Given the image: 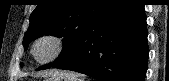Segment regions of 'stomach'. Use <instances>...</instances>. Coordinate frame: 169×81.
<instances>
[{"mask_svg": "<svg viewBox=\"0 0 169 81\" xmlns=\"http://www.w3.org/2000/svg\"><path fill=\"white\" fill-rule=\"evenodd\" d=\"M45 81H69V80L63 76H51L46 78Z\"/></svg>", "mask_w": 169, "mask_h": 81, "instance_id": "0dacf381", "label": "stomach"}]
</instances>
